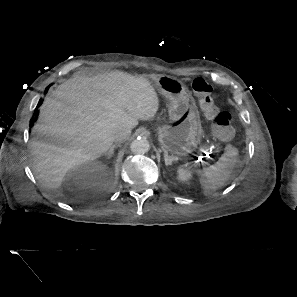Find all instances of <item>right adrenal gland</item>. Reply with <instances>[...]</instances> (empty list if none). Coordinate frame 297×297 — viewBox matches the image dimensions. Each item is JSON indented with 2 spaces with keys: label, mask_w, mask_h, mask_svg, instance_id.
Wrapping results in <instances>:
<instances>
[{
  "label": "right adrenal gland",
  "mask_w": 297,
  "mask_h": 297,
  "mask_svg": "<svg viewBox=\"0 0 297 297\" xmlns=\"http://www.w3.org/2000/svg\"><path fill=\"white\" fill-rule=\"evenodd\" d=\"M118 146H119V144H114V145L111 146V148L109 149V151L106 153L108 155V157H111L114 154V149L116 147H118Z\"/></svg>",
  "instance_id": "obj_1"
}]
</instances>
